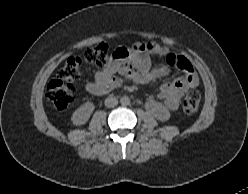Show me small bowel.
Instances as JSON below:
<instances>
[{"label": "small bowel", "instance_id": "c3829d8e", "mask_svg": "<svg viewBox=\"0 0 248 194\" xmlns=\"http://www.w3.org/2000/svg\"><path fill=\"white\" fill-rule=\"evenodd\" d=\"M149 52L159 53L165 50L153 44H136L134 47L117 48L109 63L99 70L93 81L86 83L85 90L89 94L102 95L119 87L124 82L150 84L170 73V66L182 70L183 75L172 81L163 83L157 94V99L163 102L166 109L177 110L185 93L198 84V78L190 61L183 56L173 57V65L152 67ZM118 75V76H116ZM149 107L158 112L157 101H150Z\"/></svg>", "mask_w": 248, "mask_h": 194}]
</instances>
